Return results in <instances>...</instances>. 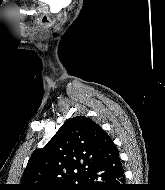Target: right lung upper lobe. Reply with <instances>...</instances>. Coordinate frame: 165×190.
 I'll return each instance as SVG.
<instances>
[{
    "instance_id": "1",
    "label": "right lung upper lobe",
    "mask_w": 165,
    "mask_h": 190,
    "mask_svg": "<svg viewBox=\"0 0 165 190\" xmlns=\"http://www.w3.org/2000/svg\"><path fill=\"white\" fill-rule=\"evenodd\" d=\"M118 153L112 139L85 116L67 120L48 144L34 151L20 190H54L81 184L82 175Z\"/></svg>"
}]
</instances>
